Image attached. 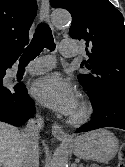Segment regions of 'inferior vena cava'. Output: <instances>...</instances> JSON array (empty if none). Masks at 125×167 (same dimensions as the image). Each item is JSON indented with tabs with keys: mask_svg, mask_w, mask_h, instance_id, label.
<instances>
[{
	"mask_svg": "<svg viewBox=\"0 0 125 167\" xmlns=\"http://www.w3.org/2000/svg\"><path fill=\"white\" fill-rule=\"evenodd\" d=\"M43 126V119L37 116L27 122L26 128L21 133L23 138V167H39L38 138Z\"/></svg>",
	"mask_w": 125,
	"mask_h": 167,
	"instance_id": "1",
	"label": "inferior vena cava"
}]
</instances>
